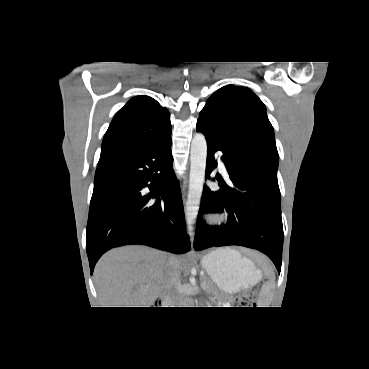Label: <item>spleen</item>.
<instances>
[{
  "mask_svg": "<svg viewBox=\"0 0 369 369\" xmlns=\"http://www.w3.org/2000/svg\"><path fill=\"white\" fill-rule=\"evenodd\" d=\"M265 272L269 278V281L265 283L261 288L259 304L263 305L262 307H268V305L270 304V296H271L272 289L274 287V280H275V275L272 270L266 269Z\"/></svg>",
  "mask_w": 369,
  "mask_h": 369,
  "instance_id": "spleen-1",
  "label": "spleen"
}]
</instances>
